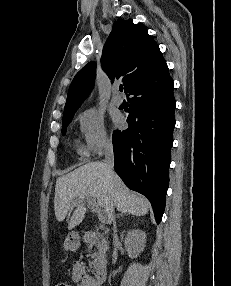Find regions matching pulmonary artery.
Instances as JSON below:
<instances>
[{
  "label": "pulmonary artery",
  "mask_w": 231,
  "mask_h": 286,
  "mask_svg": "<svg viewBox=\"0 0 231 286\" xmlns=\"http://www.w3.org/2000/svg\"><path fill=\"white\" fill-rule=\"evenodd\" d=\"M111 101L112 103L115 105V106H120L123 102V99L122 97L119 95V92H118V88L115 87L113 89V95H112V98H111Z\"/></svg>",
  "instance_id": "obj_1"
}]
</instances>
